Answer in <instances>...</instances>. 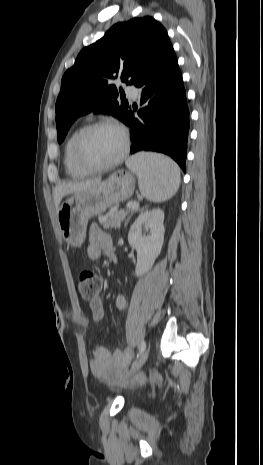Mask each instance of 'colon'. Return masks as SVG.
Wrapping results in <instances>:
<instances>
[{
  "label": "colon",
  "instance_id": "5ec220e1",
  "mask_svg": "<svg viewBox=\"0 0 263 465\" xmlns=\"http://www.w3.org/2000/svg\"><path fill=\"white\" fill-rule=\"evenodd\" d=\"M102 288V279L92 271H83L78 278V289L82 298L92 301L97 297Z\"/></svg>",
  "mask_w": 263,
  "mask_h": 465
}]
</instances>
